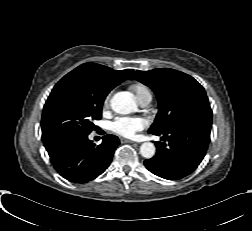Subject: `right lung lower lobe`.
Wrapping results in <instances>:
<instances>
[{
    "mask_svg": "<svg viewBox=\"0 0 252 231\" xmlns=\"http://www.w3.org/2000/svg\"><path fill=\"white\" fill-rule=\"evenodd\" d=\"M119 143L118 137L106 135L96 145L84 135L65 138L47 148V152L61 176L74 183H85L108 168Z\"/></svg>",
    "mask_w": 252,
    "mask_h": 231,
    "instance_id": "98d812e1",
    "label": "right lung lower lobe"
}]
</instances>
